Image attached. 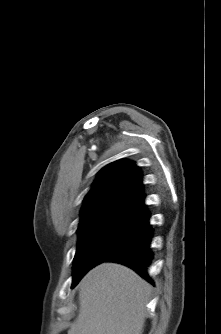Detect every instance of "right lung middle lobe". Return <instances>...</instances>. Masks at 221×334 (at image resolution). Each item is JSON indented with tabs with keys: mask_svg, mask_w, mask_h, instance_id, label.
<instances>
[{
	"mask_svg": "<svg viewBox=\"0 0 221 334\" xmlns=\"http://www.w3.org/2000/svg\"><path fill=\"white\" fill-rule=\"evenodd\" d=\"M145 217L100 215L88 218L78 227L79 241L74 257L72 288L88 270L107 261L144 225Z\"/></svg>",
	"mask_w": 221,
	"mask_h": 334,
	"instance_id": "dd1d6c3e",
	"label": "right lung middle lobe"
}]
</instances>
